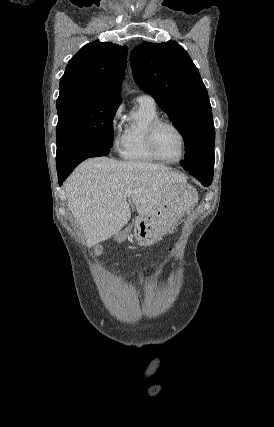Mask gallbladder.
Segmentation results:
<instances>
[{"label":"gallbladder","instance_id":"1","mask_svg":"<svg viewBox=\"0 0 274 427\" xmlns=\"http://www.w3.org/2000/svg\"><path fill=\"white\" fill-rule=\"evenodd\" d=\"M102 251H103L102 245H99V243H98V245H95V247H94L95 255H101Z\"/></svg>","mask_w":274,"mask_h":427}]
</instances>
